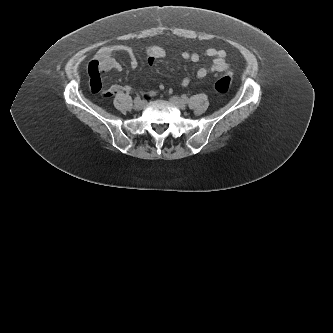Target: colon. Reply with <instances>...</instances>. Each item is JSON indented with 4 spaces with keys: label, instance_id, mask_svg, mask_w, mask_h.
Segmentation results:
<instances>
[{
    "label": "colon",
    "instance_id": "colon-1",
    "mask_svg": "<svg viewBox=\"0 0 333 333\" xmlns=\"http://www.w3.org/2000/svg\"><path fill=\"white\" fill-rule=\"evenodd\" d=\"M232 85V76L230 73H226L223 77L215 82L214 89L219 94H226Z\"/></svg>",
    "mask_w": 333,
    "mask_h": 333
}]
</instances>
